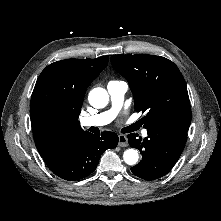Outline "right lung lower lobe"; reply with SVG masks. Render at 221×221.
<instances>
[{"label":"right lung lower lobe","instance_id":"1","mask_svg":"<svg viewBox=\"0 0 221 221\" xmlns=\"http://www.w3.org/2000/svg\"><path fill=\"white\" fill-rule=\"evenodd\" d=\"M117 144L116 133L106 131L96 136L87 132L42 158L58 177L68 181L80 180L96 169L105 150L115 148Z\"/></svg>","mask_w":221,"mask_h":221}]
</instances>
